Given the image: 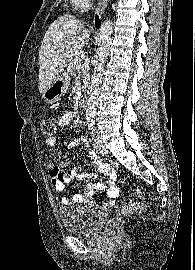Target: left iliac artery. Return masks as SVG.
Here are the masks:
<instances>
[{"label": "left iliac artery", "mask_w": 195, "mask_h": 270, "mask_svg": "<svg viewBox=\"0 0 195 270\" xmlns=\"http://www.w3.org/2000/svg\"><path fill=\"white\" fill-rule=\"evenodd\" d=\"M89 130L91 131L92 136L95 137L96 129L93 124L89 125Z\"/></svg>", "instance_id": "44dca946"}]
</instances>
